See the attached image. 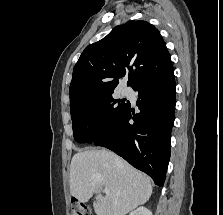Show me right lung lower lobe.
<instances>
[{
    "mask_svg": "<svg viewBox=\"0 0 223 215\" xmlns=\"http://www.w3.org/2000/svg\"><path fill=\"white\" fill-rule=\"evenodd\" d=\"M174 69L160 79L143 82L133 88L139 92L136 105L141 110L131 114V105L114 128L94 145L106 147L147 173L163 186L170 159L171 128L174 122ZM134 123L130 124L129 120Z\"/></svg>",
    "mask_w": 223,
    "mask_h": 215,
    "instance_id": "98d812e1",
    "label": "right lung lower lobe"
}]
</instances>
